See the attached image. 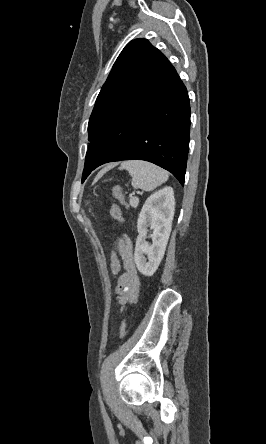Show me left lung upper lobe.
Returning <instances> with one entry per match:
<instances>
[{"label":"left lung upper lobe","mask_w":266,"mask_h":444,"mask_svg":"<svg viewBox=\"0 0 266 444\" xmlns=\"http://www.w3.org/2000/svg\"><path fill=\"white\" fill-rule=\"evenodd\" d=\"M168 59L146 39L130 41L101 88L88 124V140L121 110L174 71Z\"/></svg>","instance_id":"left-lung-upper-lobe-1"}]
</instances>
